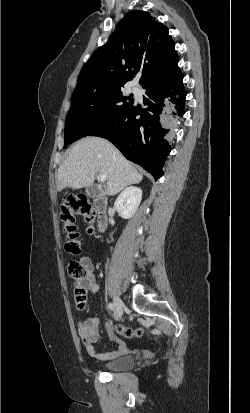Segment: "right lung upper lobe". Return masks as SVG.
Here are the masks:
<instances>
[{
    "instance_id": "right-lung-upper-lobe-1",
    "label": "right lung upper lobe",
    "mask_w": 250,
    "mask_h": 413,
    "mask_svg": "<svg viewBox=\"0 0 250 413\" xmlns=\"http://www.w3.org/2000/svg\"><path fill=\"white\" fill-rule=\"evenodd\" d=\"M174 47L166 26L148 12L131 11L84 64L74 94L122 88L139 71L140 85L178 71Z\"/></svg>"
}]
</instances>
